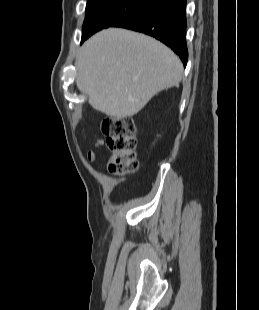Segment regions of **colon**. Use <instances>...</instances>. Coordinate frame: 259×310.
I'll use <instances>...</instances> for the list:
<instances>
[{
  "label": "colon",
  "mask_w": 259,
  "mask_h": 310,
  "mask_svg": "<svg viewBox=\"0 0 259 310\" xmlns=\"http://www.w3.org/2000/svg\"><path fill=\"white\" fill-rule=\"evenodd\" d=\"M102 133L111 152L109 170L115 175H126L138 169L136 155V127L131 118H105Z\"/></svg>",
  "instance_id": "5ec220e1"
}]
</instances>
